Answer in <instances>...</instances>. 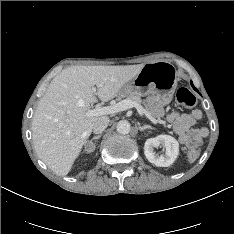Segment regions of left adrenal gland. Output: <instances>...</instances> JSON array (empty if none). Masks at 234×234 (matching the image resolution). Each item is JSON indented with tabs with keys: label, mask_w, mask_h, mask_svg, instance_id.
<instances>
[{
	"label": "left adrenal gland",
	"mask_w": 234,
	"mask_h": 234,
	"mask_svg": "<svg viewBox=\"0 0 234 234\" xmlns=\"http://www.w3.org/2000/svg\"><path fill=\"white\" fill-rule=\"evenodd\" d=\"M138 129H139L140 131H144L145 129H153V128H152L150 125L141 126V125L139 124Z\"/></svg>",
	"instance_id": "a2214340"
}]
</instances>
